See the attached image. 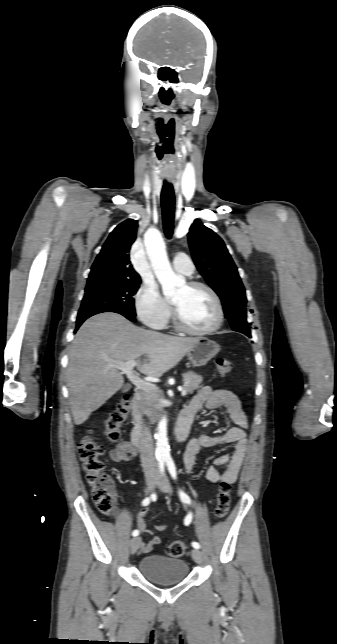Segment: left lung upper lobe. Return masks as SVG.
<instances>
[{
    "instance_id": "1",
    "label": "left lung upper lobe",
    "mask_w": 337,
    "mask_h": 644,
    "mask_svg": "<svg viewBox=\"0 0 337 644\" xmlns=\"http://www.w3.org/2000/svg\"><path fill=\"white\" fill-rule=\"evenodd\" d=\"M188 241L193 261L220 297L232 329L251 337L245 289L223 240L196 219L190 227Z\"/></svg>"
}]
</instances>
